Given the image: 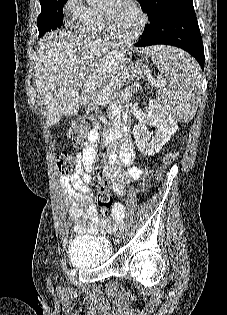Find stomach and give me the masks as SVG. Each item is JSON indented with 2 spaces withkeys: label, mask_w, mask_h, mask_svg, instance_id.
<instances>
[{
  "label": "stomach",
  "mask_w": 227,
  "mask_h": 315,
  "mask_svg": "<svg viewBox=\"0 0 227 315\" xmlns=\"http://www.w3.org/2000/svg\"><path fill=\"white\" fill-rule=\"evenodd\" d=\"M115 61L111 66V70L108 68H96L95 71H91L90 76L91 78H94V80H97L98 82H108L109 80H114V77H109L111 76V73H114L117 69L120 67L121 63V56L116 54L113 56ZM88 89L90 91H93L95 89V86L93 84H90L88 86ZM81 98L85 101H89L90 95L87 92V85L84 87Z\"/></svg>",
  "instance_id": "1"
}]
</instances>
